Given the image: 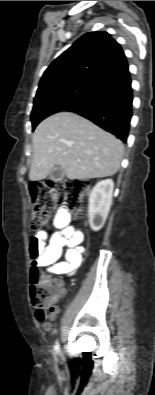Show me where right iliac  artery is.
<instances>
[{"instance_id": "right-iliac-artery-1", "label": "right iliac artery", "mask_w": 155, "mask_h": 395, "mask_svg": "<svg viewBox=\"0 0 155 395\" xmlns=\"http://www.w3.org/2000/svg\"><path fill=\"white\" fill-rule=\"evenodd\" d=\"M59 349H60L59 343H58V341H56V342H55V345H54V351H55V353H58V352H59Z\"/></svg>"}]
</instances>
